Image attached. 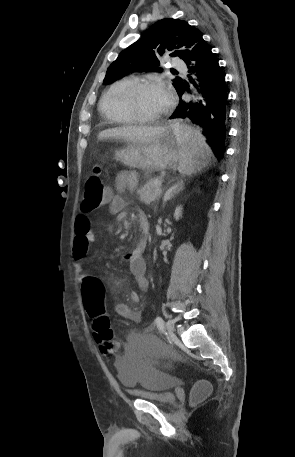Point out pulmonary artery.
<instances>
[{
	"label": "pulmonary artery",
	"mask_w": 295,
	"mask_h": 457,
	"mask_svg": "<svg viewBox=\"0 0 295 457\" xmlns=\"http://www.w3.org/2000/svg\"><path fill=\"white\" fill-rule=\"evenodd\" d=\"M171 66L177 70H180V71H185L186 67H185V64L182 60H180L179 58H173L171 60Z\"/></svg>",
	"instance_id": "1"
}]
</instances>
